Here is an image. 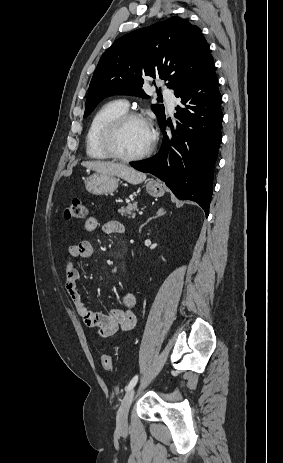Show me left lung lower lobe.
<instances>
[{
	"instance_id": "1",
	"label": "left lung lower lobe",
	"mask_w": 283,
	"mask_h": 463,
	"mask_svg": "<svg viewBox=\"0 0 283 463\" xmlns=\"http://www.w3.org/2000/svg\"><path fill=\"white\" fill-rule=\"evenodd\" d=\"M175 96L179 104L173 136H167L164 130L168 123L164 121L160 125L164 131L161 152L131 165L163 180L178 199L197 202L208 216L223 119L214 64Z\"/></svg>"
}]
</instances>
